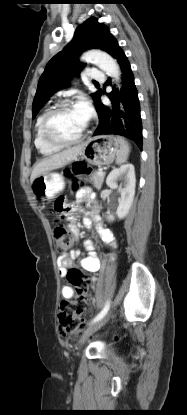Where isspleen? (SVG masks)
Masks as SVG:
<instances>
[{
    "mask_svg": "<svg viewBox=\"0 0 187 415\" xmlns=\"http://www.w3.org/2000/svg\"><path fill=\"white\" fill-rule=\"evenodd\" d=\"M117 140L120 144V149L117 153L116 163L122 164L127 161L129 153H130V145L129 143L122 137H117Z\"/></svg>",
    "mask_w": 187,
    "mask_h": 415,
    "instance_id": "spleen-1",
    "label": "spleen"
}]
</instances>
